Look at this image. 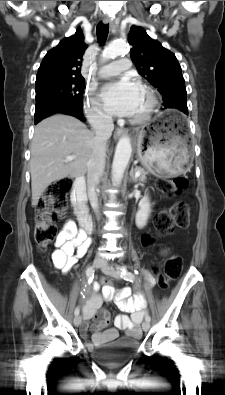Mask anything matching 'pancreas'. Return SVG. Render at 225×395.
<instances>
[{
	"mask_svg": "<svg viewBox=\"0 0 225 395\" xmlns=\"http://www.w3.org/2000/svg\"><path fill=\"white\" fill-rule=\"evenodd\" d=\"M135 171H140L139 181L144 182L146 180V175L148 172L142 167H136Z\"/></svg>",
	"mask_w": 225,
	"mask_h": 395,
	"instance_id": "cf45deb5",
	"label": "pancreas"
}]
</instances>
